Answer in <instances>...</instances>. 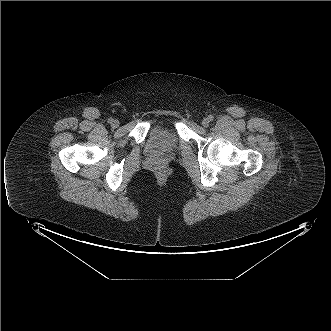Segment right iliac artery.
<instances>
[{"mask_svg":"<svg viewBox=\"0 0 331 331\" xmlns=\"http://www.w3.org/2000/svg\"><path fill=\"white\" fill-rule=\"evenodd\" d=\"M108 122H109V123H112V122H113V119H112V118H109V119H108Z\"/></svg>","mask_w":331,"mask_h":331,"instance_id":"obj_1","label":"right iliac artery"}]
</instances>
